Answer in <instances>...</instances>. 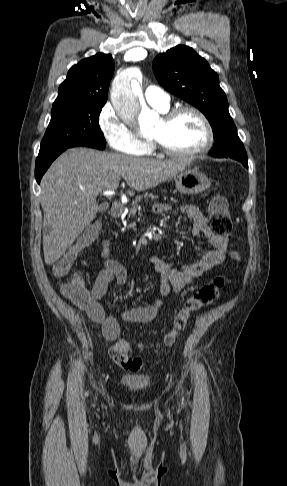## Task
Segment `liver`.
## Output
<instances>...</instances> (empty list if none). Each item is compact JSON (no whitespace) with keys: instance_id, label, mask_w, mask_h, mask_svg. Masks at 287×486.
Returning <instances> with one entry per match:
<instances>
[{"instance_id":"liver-1","label":"liver","mask_w":287,"mask_h":486,"mask_svg":"<svg viewBox=\"0 0 287 486\" xmlns=\"http://www.w3.org/2000/svg\"><path fill=\"white\" fill-rule=\"evenodd\" d=\"M189 159L152 160L88 148L62 153L41 180L44 211L43 251L47 265L56 262L96 217L97 196L122 177L132 191H144L182 172Z\"/></svg>"}]
</instances>
